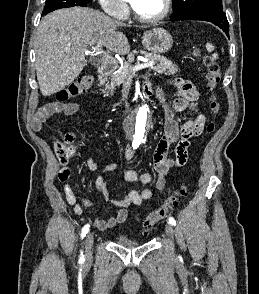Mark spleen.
Masks as SVG:
<instances>
[{"label": "spleen", "mask_w": 259, "mask_h": 294, "mask_svg": "<svg viewBox=\"0 0 259 294\" xmlns=\"http://www.w3.org/2000/svg\"><path fill=\"white\" fill-rule=\"evenodd\" d=\"M206 49L209 51V52H212L214 50V46L210 43H207L206 44ZM213 58L216 59L218 58V54L217 53H214L213 54Z\"/></svg>", "instance_id": "spleen-1"}]
</instances>
